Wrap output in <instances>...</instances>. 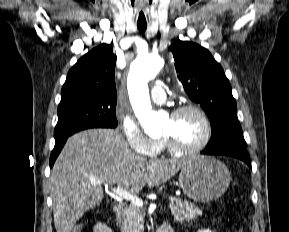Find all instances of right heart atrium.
Returning <instances> with one entry per match:
<instances>
[{
  "label": "right heart atrium",
  "mask_w": 289,
  "mask_h": 232,
  "mask_svg": "<svg viewBox=\"0 0 289 232\" xmlns=\"http://www.w3.org/2000/svg\"><path fill=\"white\" fill-rule=\"evenodd\" d=\"M121 129L129 147L135 153L153 157L160 152L162 141L147 136L132 117L122 118Z\"/></svg>",
  "instance_id": "obj_1"
}]
</instances>
